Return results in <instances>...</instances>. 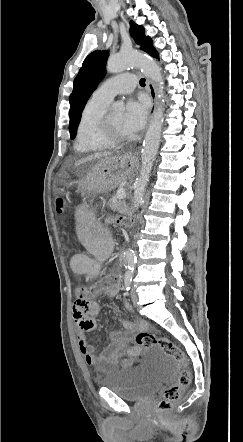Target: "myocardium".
<instances>
[{
	"label": "myocardium",
	"instance_id": "1",
	"mask_svg": "<svg viewBox=\"0 0 243 442\" xmlns=\"http://www.w3.org/2000/svg\"><path fill=\"white\" fill-rule=\"evenodd\" d=\"M98 133L100 139L110 146H117L129 140V136H118L113 132L109 115L106 113L100 121Z\"/></svg>",
	"mask_w": 243,
	"mask_h": 442
}]
</instances>
